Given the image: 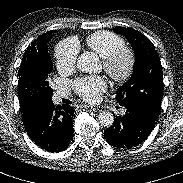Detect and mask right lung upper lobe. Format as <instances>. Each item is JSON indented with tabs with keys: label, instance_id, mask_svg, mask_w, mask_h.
I'll return each mask as SVG.
<instances>
[{
	"label": "right lung upper lobe",
	"instance_id": "1",
	"mask_svg": "<svg viewBox=\"0 0 183 183\" xmlns=\"http://www.w3.org/2000/svg\"><path fill=\"white\" fill-rule=\"evenodd\" d=\"M52 32L53 31H49L47 33L40 35L37 39H35L32 42L31 45L28 46V48L25 51V54L23 56V60H22L20 67L27 64V62H29L33 58V56L37 55L41 51V49L44 46V43L49 38H52Z\"/></svg>",
	"mask_w": 183,
	"mask_h": 183
}]
</instances>
